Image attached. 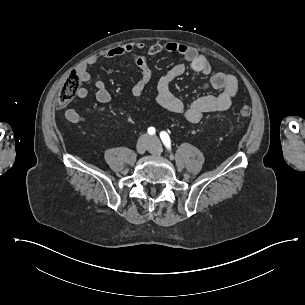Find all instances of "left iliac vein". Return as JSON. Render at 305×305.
Masks as SVG:
<instances>
[{"label":"left iliac vein","mask_w":305,"mask_h":305,"mask_svg":"<svg viewBox=\"0 0 305 305\" xmlns=\"http://www.w3.org/2000/svg\"><path fill=\"white\" fill-rule=\"evenodd\" d=\"M152 141L154 142L155 146L157 147V149H154L153 152H155L156 154H159V152L161 151V147H160V143H159L157 137L153 136Z\"/></svg>","instance_id":"1"}]
</instances>
